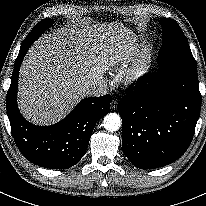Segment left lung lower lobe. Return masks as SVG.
<instances>
[{
    "mask_svg": "<svg viewBox=\"0 0 206 206\" xmlns=\"http://www.w3.org/2000/svg\"><path fill=\"white\" fill-rule=\"evenodd\" d=\"M200 109L197 73L163 69L143 76L118 104L125 156L141 169L174 162L192 141Z\"/></svg>",
    "mask_w": 206,
    "mask_h": 206,
    "instance_id": "obj_1",
    "label": "left lung lower lobe"
}]
</instances>
